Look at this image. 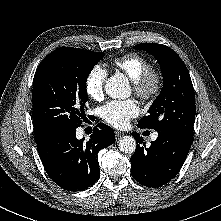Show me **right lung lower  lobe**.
<instances>
[{"instance_id": "right-lung-lower-lobe-1", "label": "right lung lower lobe", "mask_w": 221, "mask_h": 221, "mask_svg": "<svg viewBox=\"0 0 221 221\" xmlns=\"http://www.w3.org/2000/svg\"><path fill=\"white\" fill-rule=\"evenodd\" d=\"M114 131L106 124L94 128L88 142L76 138V128L49 133L36 142L42 164L60 187L85 190L100 177L98 151L114 142Z\"/></svg>"}]
</instances>
